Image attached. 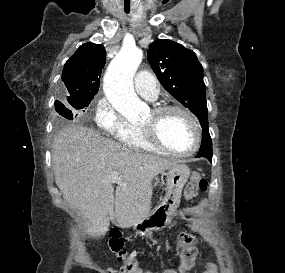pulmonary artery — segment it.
<instances>
[{
  "label": "pulmonary artery",
  "mask_w": 285,
  "mask_h": 273,
  "mask_svg": "<svg viewBox=\"0 0 285 273\" xmlns=\"http://www.w3.org/2000/svg\"><path fill=\"white\" fill-rule=\"evenodd\" d=\"M136 91L148 100H156L159 95V85L155 77L146 70H140L134 78Z\"/></svg>",
  "instance_id": "e3ab8cb5"
}]
</instances>
